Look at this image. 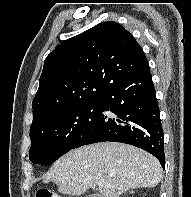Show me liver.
<instances>
[{
  "instance_id": "liver-1",
  "label": "liver",
  "mask_w": 191,
  "mask_h": 197,
  "mask_svg": "<svg viewBox=\"0 0 191 197\" xmlns=\"http://www.w3.org/2000/svg\"><path fill=\"white\" fill-rule=\"evenodd\" d=\"M162 179L157 158L129 144L95 143L73 149L58 159L44 175L43 182H54L63 194L79 196L89 188L98 197H119L134 188H153Z\"/></svg>"
}]
</instances>
